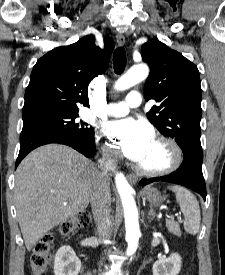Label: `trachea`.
<instances>
[{
	"label": "trachea",
	"instance_id": "3493384b",
	"mask_svg": "<svg viewBox=\"0 0 225 275\" xmlns=\"http://www.w3.org/2000/svg\"><path fill=\"white\" fill-rule=\"evenodd\" d=\"M113 66L116 74H121L126 67V53L124 47H118L113 54Z\"/></svg>",
	"mask_w": 225,
	"mask_h": 275
}]
</instances>
